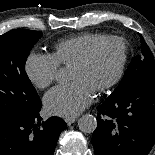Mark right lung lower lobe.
Returning <instances> with one entry per match:
<instances>
[{"instance_id":"right-lung-lower-lobe-1","label":"right lung lower lobe","mask_w":155,"mask_h":155,"mask_svg":"<svg viewBox=\"0 0 155 155\" xmlns=\"http://www.w3.org/2000/svg\"><path fill=\"white\" fill-rule=\"evenodd\" d=\"M39 111L29 117L0 118V155H53L67 124L59 117L41 123Z\"/></svg>"}]
</instances>
